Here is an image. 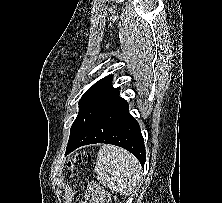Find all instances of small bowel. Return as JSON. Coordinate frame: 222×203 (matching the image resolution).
Returning a JSON list of instances; mask_svg holds the SVG:
<instances>
[{
	"instance_id": "small-bowel-1",
	"label": "small bowel",
	"mask_w": 222,
	"mask_h": 203,
	"mask_svg": "<svg viewBox=\"0 0 222 203\" xmlns=\"http://www.w3.org/2000/svg\"><path fill=\"white\" fill-rule=\"evenodd\" d=\"M87 203H110L109 196L98 187H90Z\"/></svg>"
}]
</instances>
